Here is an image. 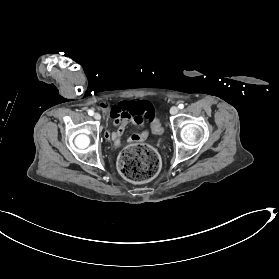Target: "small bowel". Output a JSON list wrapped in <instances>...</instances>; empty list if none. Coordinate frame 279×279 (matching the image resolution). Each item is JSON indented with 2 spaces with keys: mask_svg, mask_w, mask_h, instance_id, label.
Returning a JSON list of instances; mask_svg holds the SVG:
<instances>
[{
  "mask_svg": "<svg viewBox=\"0 0 279 279\" xmlns=\"http://www.w3.org/2000/svg\"><path fill=\"white\" fill-rule=\"evenodd\" d=\"M109 114L117 128L114 131H106L105 138L115 148L120 146L127 125L132 123L140 128L128 138L129 142H139L144 140L148 134L147 129H142L143 124L145 122L153 124L155 119L154 107L147 100L119 103L111 107Z\"/></svg>",
  "mask_w": 279,
  "mask_h": 279,
  "instance_id": "small-bowel-1",
  "label": "small bowel"
}]
</instances>
